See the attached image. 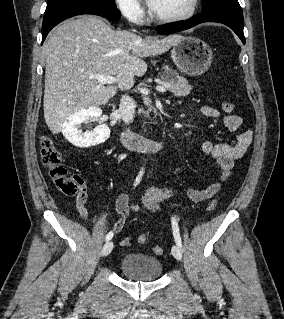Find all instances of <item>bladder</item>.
Wrapping results in <instances>:
<instances>
[{"instance_id": "31cf9c89", "label": "bladder", "mask_w": 284, "mask_h": 319, "mask_svg": "<svg viewBox=\"0 0 284 319\" xmlns=\"http://www.w3.org/2000/svg\"><path fill=\"white\" fill-rule=\"evenodd\" d=\"M119 268L129 280L142 282L158 279L163 271L162 262L158 258L139 252L125 254Z\"/></svg>"}]
</instances>
